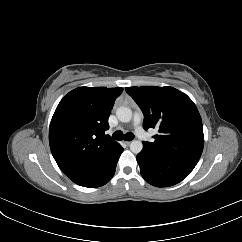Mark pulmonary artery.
I'll return each mask as SVG.
<instances>
[{
    "label": "pulmonary artery",
    "mask_w": 242,
    "mask_h": 242,
    "mask_svg": "<svg viewBox=\"0 0 242 242\" xmlns=\"http://www.w3.org/2000/svg\"><path fill=\"white\" fill-rule=\"evenodd\" d=\"M142 115L140 112H135L133 116V124L135 126V132L136 134L141 137L145 138L146 137V131L142 127ZM146 139V138H145Z\"/></svg>",
    "instance_id": "pulmonary-artery-1"
}]
</instances>
